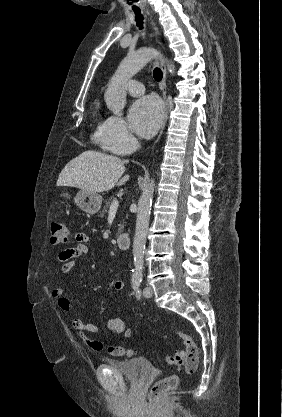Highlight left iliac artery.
Segmentation results:
<instances>
[{
    "instance_id": "left-iliac-artery-1",
    "label": "left iliac artery",
    "mask_w": 282,
    "mask_h": 417,
    "mask_svg": "<svg viewBox=\"0 0 282 417\" xmlns=\"http://www.w3.org/2000/svg\"><path fill=\"white\" fill-rule=\"evenodd\" d=\"M140 296H141V292H140V290H137V292H136V297L139 299V298H140Z\"/></svg>"
}]
</instances>
